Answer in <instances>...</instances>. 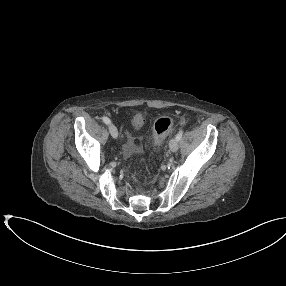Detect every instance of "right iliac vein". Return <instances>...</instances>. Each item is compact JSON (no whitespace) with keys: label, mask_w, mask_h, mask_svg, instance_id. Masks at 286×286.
Masks as SVG:
<instances>
[{"label":"right iliac vein","mask_w":286,"mask_h":286,"mask_svg":"<svg viewBox=\"0 0 286 286\" xmlns=\"http://www.w3.org/2000/svg\"><path fill=\"white\" fill-rule=\"evenodd\" d=\"M109 132L111 134V136L116 139L118 137V131L117 128L114 124H109Z\"/></svg>","instance_id":"obj_1"}]
</instances>
